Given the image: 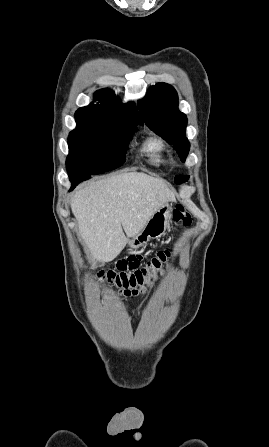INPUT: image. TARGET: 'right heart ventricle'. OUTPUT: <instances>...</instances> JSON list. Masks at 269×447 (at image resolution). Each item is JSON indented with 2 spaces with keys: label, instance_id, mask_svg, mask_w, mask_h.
<instances>
[{
  "label": "right heart ventricle",
  "instance_id": "obj_1",
  "mask_svg": "<svg viewBox=\"0 0 269 447\" xmlns=\"http://www.w3.org/2000/svg\"><path fill=\"white\" fill-rule=\"evenodd\" d=\"M146 151L150 154L151 162L158 166L166 165L164 142L161 138L150 139L146 144Z\"/></svg>",
  "mask_w": 269,
  "mask_h": 447
}]
</instances>
